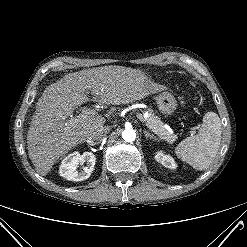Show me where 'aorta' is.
Instances as JSON below:
<instances>
[{
	"label": "aorta",
	"mask_w": 247,
	"mask_h": 247,
	"mask_svg": "<svg viewBox=\"0 0 247 247\" xmlns=\"http://www.w3.org/2000/svg\"><path fill=\"white\" fill-rule=\"evenodd\" d=\"M122 138L127 142H132L136 138V133L133 129H125L122 131Z\"/></svg>",
	"instance_id": "762f6f07"
}]
</instances>
